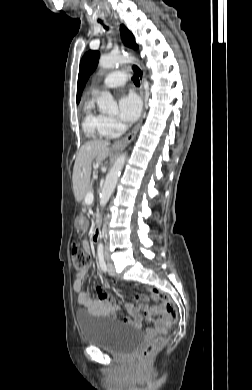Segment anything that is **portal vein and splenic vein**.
<instances>
[{
	"instance_id": "obj_1",
	"label": "portal vein and splenic vein",
	"mask_w": 252,
	"mask_h": 390,
	"mask_svg": "<svg viewBox=\"0 0 252 390\" xmlns=\"http://www.w3.org/2000/svg\"><path fill=\"white\" fill-rule=\"evenodd\" d=\"M93 199H94V196H93V193H87L86 197H85V202L87 204H90L93 202Z\"/></svg>"
}]
</instances>
